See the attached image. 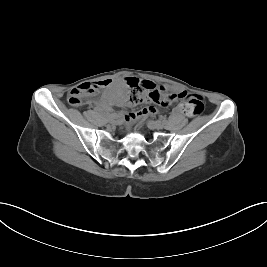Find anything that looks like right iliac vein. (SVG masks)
I'll return each mask as SVG.
<instances>
[{
  "label": "right iliac vein",
  "mask_w": 267,
  "mask_h": 267,
  "mask_svg": "<svg viewBox=\"0 0 267 267\" xmlns=\"http://www.w3.org/2000/svg\"><path fill=\"white\" fill-rule=\"evenodd\" d=\"M117 121L116 120H114V119H112V120H109V123L110 124H115Z\"/></svg>",
  "instance_id": "1"
}]
</instances>
